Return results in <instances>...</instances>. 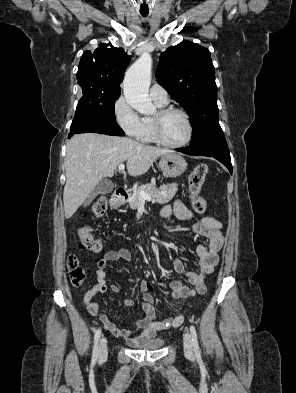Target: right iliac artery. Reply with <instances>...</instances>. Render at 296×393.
Returning a JSON list of instances; mask_svg holds the SVG:
<instances>
[{
	"mask_svg": "<svg viewBox=\"0 0 296 393\" xmlns=\"http://www.w3.org/2000/svg\"><path fill=\"white\" fill-rule=\"evenodd\" d=\"M101 336V329L96 330L95 335H94V346H93V352H92V364H94L97 361L98 358V341Z\"/></svg>",
	"mask_w": 296,
	"mask_h": 393,
	"instance_id": "right-iliac-artery-1",
	"label": "right iliac artery"
}]
</instances>
